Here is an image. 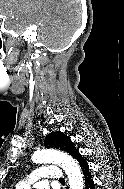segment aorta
Masks as SVG:
<instances>
[{
  "label": "aorta",
  "mask_w": 124,
  "mask_h": 189,
  "mask_svg": "<svg viewBox=\"0 0 124 189\" xmlns=\"http://www.w3.org/2000/svg\"><path fill=\"white\" fill-rule=\"evenodd\" d=\"M34 163H55L61 165L67 174L70 189H83L84 181L77 162L69 155L56 150L37 151L32 155Z\"/></svg>",
  "instance_id": "aorta-1"
}]
</instances>
